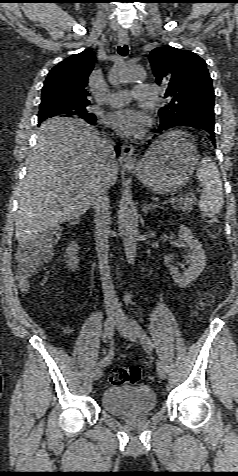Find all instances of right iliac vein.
<instances>
[{"instance_id": "1", "label": "right iliac vein", "mask_w": 238, "mask_h": 476, "mask_svg": "<svg viewBox=\"0 0 238 476\" xmlns=\"http://www.w3.org/2000/svg\"><path fill=\"white\" fill-rule=\"evenodd\" d=\"M108 314V324L113 327L114 324L116 323L117 317H118V312L114 308H110L107 311ZM103 374V369L102 367H96L95 370L93 371V378L94 380H98L101 378Z\"/></svg>"}]
</instances>
